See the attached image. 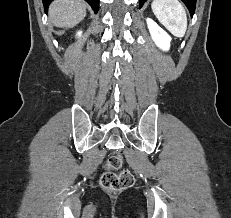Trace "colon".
<instances>
[{
	"label": "colon",
	"instance_id": "1",
	"mask_svg": "<svg viewBox=\"0 0 231 218\" xmlns=\"http://www.w3.org/2000/svg\"><path fill=\"white\" fill-rule=\"evenodd\" d=\"M123 164V158L120 154L110 155L105 162V171L101 175L100 185L108 192H118L131 187L134 184V176L129 170H118Z\"/></svg>",
	"mask_w": 231,
	"mask_h": 218
}]
</instances>
